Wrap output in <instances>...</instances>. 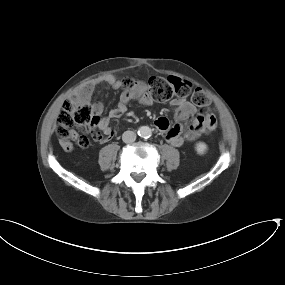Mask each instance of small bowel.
Wrapping results in <instances>:
<instances>
[{
	"label": "small bowel",
	"mask_w": 285,
	"mask_h": 285,
	"mask_svg": "<svg viewBox=\"0 0 285 285\" xmlns=\"http://www.w3.org/2000/svg\"><path fill=\"white\" fill-rule=\"evenodd\" d=\"M102 82L110 83L114 89H119L121 86L120 79L114 75H107L102 78L90 80L87 82L86 89H89L93 93ZM83 94V90L76 89L71 93L68 100H82ZM132 101L143 106H152L154 104V99L146 90V84L143 81H137L134 89L123 91L116 107L111 109L107 115H103L105 107L102 102L99 101L92 104V110L97 118L98 127L105 131L107 138L112 137L115 133V129L110 126V120L121 117L127 111V108ZM170 104L175 108V117L179 121L191 120L197 113V108L188 99L177 98L172 100ZM211 118H214L211 114L198 116L194 119L190 130L184 135L181 134L182 126L180 124H172L168 118L163 116L156 119L155 126L170 145L181 147L186 142L196 140L201 133L206 130L205 123ZM71 140L72 142L65 145V148L69 151H73L75 145H78L83 149H87L90 146V143L86 138H83L76 133H72Z\"/></svg>",
	"instance_id": "1"
}]
</instances>
